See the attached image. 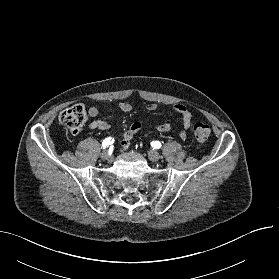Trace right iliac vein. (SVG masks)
Segmentation results:
<instances>
[{
    "label": "right iliac vein",
    "mask_w": 279,
    "mask_h": 279,
    "mask_svg": "<svg viewBox=\"0 0 279 279\" xmlns=\"http://www.w3.org/2000/svg\"><path fill=\"white\" fill-rule=\"evenodd\" d=\"M101 158H102L103 160H110V159H111V155L109 154L108 151H103V152L101 153Z\"/></svg>",
    "instance_id": "1"
}]
</instances>
